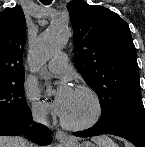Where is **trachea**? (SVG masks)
<instances>
[{
  "label": "trachea",
  "mask_w": 145,
  "mask_h": 147,
  "mask_svg": "<svg viewBox=\"0 0 145 147\" xmlns=\"http://www.w3.org/2000/svg\"><path fill=\"white\" fill-rule=\"evenodd\" d=\"M41 2L45 5H49V4H51L52 0H43Z\"/></svg>",
  "instance_id": "3493384b"
}]
</instances>
